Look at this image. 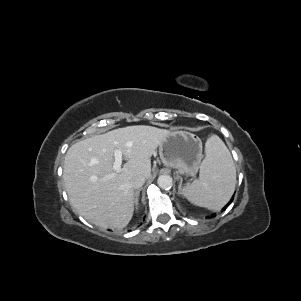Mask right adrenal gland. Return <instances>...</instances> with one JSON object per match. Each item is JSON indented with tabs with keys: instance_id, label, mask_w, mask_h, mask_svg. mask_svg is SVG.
<instances>
[{
	"instance_id": "2a0ac1e0",
	"label": "right adrenal gland",
	"mask_w": 301,
	"mask_h": 301,
	"mask_svg": "<svg viewBox=\"0 0 301 301\" xmlns=\"http://www.w3.org/2000/svg\"><path fill=\"white\" fill-rule=\"evenodd\" d=\"M140 191H141V188L134 192V203H135L136 210L138 209V204H139L138 199H139Z\"/></svg>"
}]
</instances>
